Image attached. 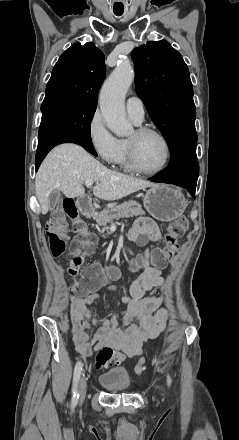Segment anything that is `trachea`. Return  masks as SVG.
Returning <instances> with one entry per match:
<instances>
[{
    "label": "trachea",
    "mask_w": 239,
    "mask_h": 440,
    "mask_svg": "<svg viewBox=\"0 0 239 440\" xmlns=\"http://www.w3.org/2000/svg\"><path fill=\"white\" fill-rule=\"evenodd\" d=\"M115 15H118V16H120V15H122V14H115Z\"/></svg>",
    "instance_id": "1"
}]
</instances>
